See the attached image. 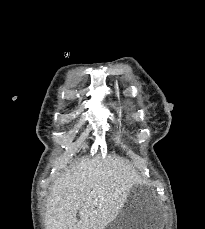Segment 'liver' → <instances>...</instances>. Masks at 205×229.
<instances>
[{"mask_svg": "<svg viewBox=\"0 0 205 229\" xmlns=\"http://www.w3.org/2000/svg\"><path fill=\"white\" fill-rule=\"evenodd\" d=\"M136 181L133 166L118 156L83 158L54 181L47 198L46 229H105Z\"/></svg>", "mask_w": 205, "mask_h": 229, "instance_id": "liver-1", "label": "liver"}]
</instances>
